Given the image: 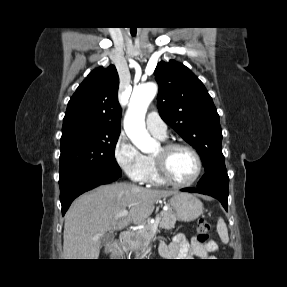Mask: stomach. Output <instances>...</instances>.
I'll use <instances>...</instances> for the list:
<instances>
[{
	"mask_svg": "<svg viewBox=\"0 0 287 287\" xmlns=\"http://www.w3.org/2000/svg\"><path fill=\"white\" fill-rule=\"evenodd\" d=\"M170 209L176 218L182 222H191L196 220L203 212L202 202L194 195L177 192L169 200ZM139 241L132 240L129 245L136 249Z\"/></svg>",
	"mask_w": 287,
	"mask_h": 287,
	"instance_id": "obj_1",
	"label": "stomach"
}]
</instances>
